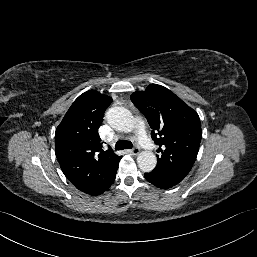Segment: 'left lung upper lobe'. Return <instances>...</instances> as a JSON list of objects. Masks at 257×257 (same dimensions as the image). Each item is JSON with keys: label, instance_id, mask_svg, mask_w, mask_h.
I'll use <instances>...</instances> for the list:
<instances>
[{"label": "left lung upper lobe", "instance_id": "obj_1", "mask_svg": "<svg viewBox=\"0 0 257 257\" xmlns=\"http://www.w3.org/2000/svg\"><path fill=\"white\" fill-rule=\"evenodd\" d=\"M130 98L147 118L152 128L151 137L159 145L156 168L186 177L196 160L202 138L197 112L169 89L157 84L134 92Z\"/></svg>", "mask_w": 257, "mask_h": 257}]
</instances>
